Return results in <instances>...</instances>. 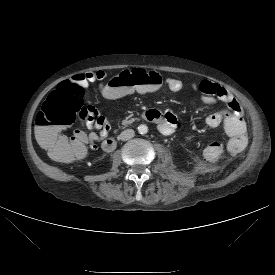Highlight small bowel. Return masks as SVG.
<instances>
[{"label":"small bowel","instance_id":"obj_1","mask_svg":"<svg viewBox=\"0 0 275 275\" xmlns=\"http://www.w3.org/2000/svg\"><path fill=\"white\" fill-rule=\"evenodd\" d=\"M104 77L105 75L101 71L89 72L86 74H76L72 77L71 81L77 82L86 88L90 83L102 80ZM165 84L173 92H179L184 87L181 80L172 77H167ZM192 88L200 90L203 93L201 101L206 105L214 104L217 101L223 102V110L209 113L205 117V123L209 127L222 125L229 137L228 147L230 152L233 154L240 153L247 145V132L241 108L234 96L224 87L208 79L202 80L199 85L193 83ZM148 118L150 122L158 126L163 134L170 135L177 128V116L171 110L161 113L158 108H151L148 111ZM84 123L90 130H99L98 133L90 132L87 135L84 132H79L82 138L89 143L90 148L95 150L97 148L96 144L104 140L108 135L109 125L106 119L95 108L94 113ZM223 155V142L219 139H212L206 143L202 152V159L208 165H216L220 162Z\"/></svg>","mask_w":275,"mask_h":275}]
</instances>
